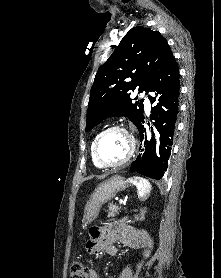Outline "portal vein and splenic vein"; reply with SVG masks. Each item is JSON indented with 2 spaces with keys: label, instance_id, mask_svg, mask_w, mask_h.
Here are the masks:
<instances>
[{
  "label": "portal vein and splenic vein",
  "instance_id": "obj_1",
  "mask_svg": "<svg viewBox=\"0 0 221 278\" xmlns=\"http://www.w3.org/2000/svg\"><path fill=\"white\" fill-rule=\"evenodd\" d=\"M119 203H120V204H125V201H123V199H120V200H119Z\"/></svg>",
  "mask_w": 221,
  "mask_h": 278
}]
</instances>
